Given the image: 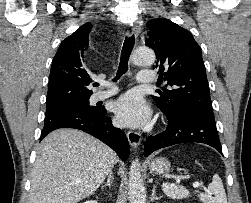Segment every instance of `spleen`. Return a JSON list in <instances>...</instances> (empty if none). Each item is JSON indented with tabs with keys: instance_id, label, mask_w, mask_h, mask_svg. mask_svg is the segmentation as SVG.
<instances>
[{
	"instance_id": "spleen-1",
	"label": "spleen",
	"mask_w": 251,
	"mask_h": 203,
	"mask_svg": "<svg viewBox=\"0 0 251 203\" xmlns=\"http://www.w3.org/2000/svg\"><path fill=\"white\" fill-rule=\"evenodd\" d=\"M163 192L172 199H182L190 195L189 191L183 186L164 183ZM209 193H199L198 197L203 203H227V197L221 178L215 174L212 182L208 186ZM214 195V196H213Z\"/></svg>"
}]
</instances>
